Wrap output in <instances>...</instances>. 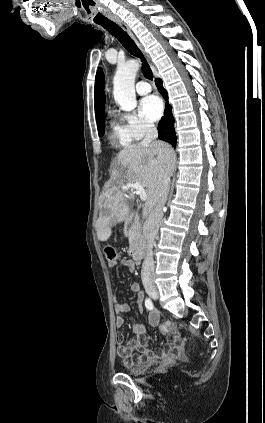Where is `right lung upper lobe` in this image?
I'll list each match as a JSON object with an SVG mask.
<instances>
[{
	"label": "right lung upper lobe",
	"instance_id": "right-lung-upper-lobe-1",
	"mask_svg": "<svg viewBox=\"0 0 265 423\" xmlns=\"http://www.w3.org/2000/svg\"><path fill=\"white\" fill-rule=\"evenodd\" d=\"M94 97H95L96 120L99 121L104 116V106H105L104 75L101 69H99L96 74Z\"/></svg>",
	"mask_w": 265,
	"mask_h": 423
}]
</instances>
